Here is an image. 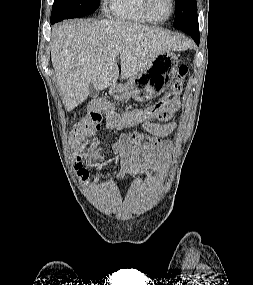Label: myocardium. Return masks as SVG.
<instances>
[{
  "mask_svg": "<svg viewBox=\"0 0 253 285\" xmlns=\"http://www.w3.org/2000/svg\"><path fill=\"white\" fill-rule=\"evenodd\" d=\"M149 2H150L149 0H142V9L144 13L154 22H165L169 20L175 12V0H170L171 10H170L169 15L166 18H162V19L157 18L152 14L150 7H149Z\"/></svg>",
  "mask_w": 253,
  "mask_h": 285,
  "instance_id": "1",
  "label": "myocardium"
}]
</instances>
